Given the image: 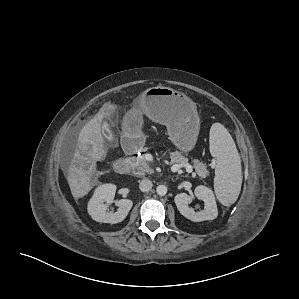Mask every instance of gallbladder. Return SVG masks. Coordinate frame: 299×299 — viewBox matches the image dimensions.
Returning a JSON list of instances; mask_svg holds the SVG:
<instances>
[{"instance_id":"obj_1","label":"gallbladder","mask_w":299,"mask_h":299,"mask_svg":"<svg viewBox=\"0 0 299 299\" xmlns=\"http://www.w3.org/2000/svg\"><path fill=\"white\" fill-rule=\"evenodd\" d=\"M104 137L106 140V144L109 147H115L117 145V141L115 140L113 133L111 131V125L110 123H105L103 128Z\"/></svg>"}]
</instances>
